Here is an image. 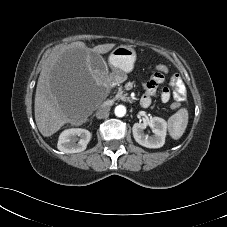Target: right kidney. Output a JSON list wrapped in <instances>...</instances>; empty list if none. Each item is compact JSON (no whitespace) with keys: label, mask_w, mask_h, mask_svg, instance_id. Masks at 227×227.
I'll return each instance as SVG.
<instances>
[{"label":"right kidney","mask_w":227,"mask_h":227,"mask_svg":"<svg viewBox=\"0 0 227 227\" xmlns=\"http://www.w3.org/2000/svg\"><path fill=\"white\" fill-rule=\"evenodd\" d=\"M90 139L91 133L86 129H66L59 136L57 148L64 153L82 152L86 149Z\"/></svg>","instance_id":"obj_1"}]
</instances>
